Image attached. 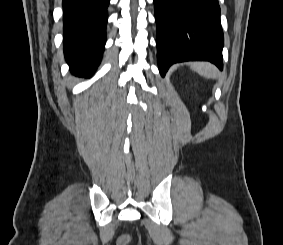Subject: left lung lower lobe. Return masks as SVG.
<instances>
[{"instance_id":"left-lung-lower-lobe-1","label":"left lung lower lobe","mask_w":283,"mask_h":245,"mask_svg":"<svg viewBox=\"0 0 283 245\" xmlns=\"http://www.w3.org/2000/svg\"><path fill=\"white\" fill-rule=\"evenodd\" d=\"M162 77L177 62L205 60L223 69L218 0H153Z\"/></svg>"}]
</instances>
